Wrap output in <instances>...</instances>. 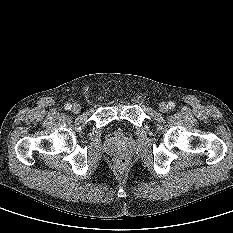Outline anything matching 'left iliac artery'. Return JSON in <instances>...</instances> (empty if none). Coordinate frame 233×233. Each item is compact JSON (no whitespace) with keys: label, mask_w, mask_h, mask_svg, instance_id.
<instances>
[{"label":"left iliac artery","mask_w":233,"mask_h":233,"mask_svg":"<svg viewBox=\"0 0 233 233\" xmlns=\"http://www.w3.org/2000/svg\"><path fill=\"white\" fill-rule=\"evenodd\" d=\"M167 107H168L169 109H174V108H175V103L172 102V101H170V102H168Z\"/></svg>","instance_id":"obj_1"}]
</instances>
